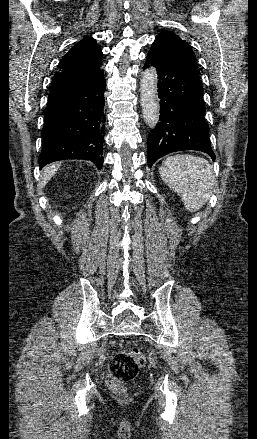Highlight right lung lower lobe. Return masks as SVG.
I'll list each match as a JSON object with an SVG mask.
<instances>
[{
  "label": "right lung lower lobe",
  "instance_id": "1",
  "mask_svg": "<svg viewBox=\"0 0 257 439\" xmlns=\"http://www.w3.org/2000/svg\"><path fill=\"white\" fill-rule=\"evenodd\" d=\"M105 88L103 70H99L50 91L38 158L40 168L65 159L89 160L99 170L102 168Z\"/></svg>",
  "mask_w": 257,
  "mask_h": 439
}]
</instances>
